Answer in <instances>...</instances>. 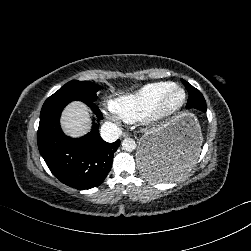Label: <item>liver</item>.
<instances>
[{
  "instance_id": "1",
  "label": "liver",
  "mask_w": 251,
  "mask_h": 251,
  "mask_svg": "<svg viewBox=\"0 0 251 251\" xmlns=\"http://www.w3.org/2000/svg\"><path fill=\"white\" fill-rule=\"evenodd\" d=\"M90 123L88 108L79 101L69 104L61 116L64 132L72 137L86 134L90 129Z\"/></svg>"
}]
</instances>
